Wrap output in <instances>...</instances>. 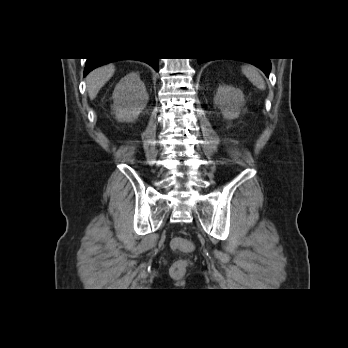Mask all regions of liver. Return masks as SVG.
Here are the masks:
<instances>
[{
    "label": "liver",
    "instance_id": "obj_1",
    "mask_svg": "<svg viewBox=\"0 0 348 348\" xmlns=\"http://www.w3.org/2000/svg\"><path fill=\"white\" fill-rule=\"evenodd\" d=\"M115 67L113 64L104 65L92 72L86 78L87 91L91 100H93L105 83L113 76Z\"/></svg>",
    "mask_w": 348,
    "mask_h": 348
}]
</instances>
